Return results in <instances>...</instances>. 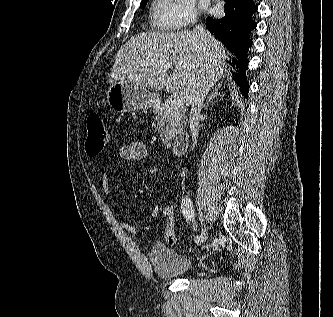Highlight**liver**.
Here are the masks:
<instances>
[{"label":"liver","instance_id":"1","mask_svg":"<svg viewBox=\"0 0 333 317\" xmlns=\"http://www.w3.org/2000/svg\"><path fill=\"white\" fill-rule=\"evenodd\" d=\"M207 34L208 38L188 30L138 33L117 52L109 81L128 79L145 89H166L189 106L198 80L208 78L212 87L226 67L228 52Z\"/></svg>","mask_w":333,"mask_h":317}]
</instances>
